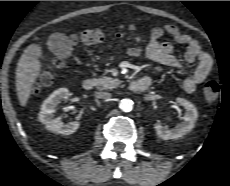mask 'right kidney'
Returning <instances> with one entry per match:
<instances>
[{"mask_svg": "<svg viewBox=\"0 0 230 186\" xmlns=\"http://www.w3.org/2000/svg\"><path fill=\"white\" fill-rule=\"evenodd\" d=\"M69 91L67 88H59L55 90L42 104L39 112V120L45 124L46 128L52 132L59 134L70 135L79 128L78 121L64 124L60 119L53 118V113L56 112V107L61 101L67 100Z\"/></svg>", "mask_w": 230, "mask_h": 186, "instance_id": "right-kidney-1", "label": "right kidney"}]
</instances>
